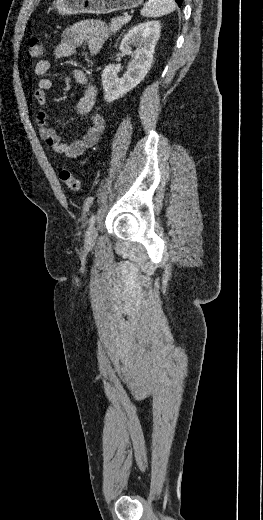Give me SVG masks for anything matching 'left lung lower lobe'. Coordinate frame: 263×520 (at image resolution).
<instances>
[{"instance_id": "obj_1", "label": "left lung lower lobe", "mask_w": 263, "mask_h": 520, "mask_svg": "<svg viewBox=\"0 0 263 520\" xmlns=\"http://www.w3.org/2000/svg\"><path fill=\"white\" fill-rule=\"evenodd\" d=\"M175 1L178 3L179 6H181L182 0H175Z\"/></svg>"}]
</instances>
